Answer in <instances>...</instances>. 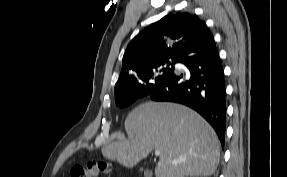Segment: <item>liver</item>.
Here are the masks:
<instances>
[{"instance_id":"1","label":"liver","mask_w":287,"mask_h":177,"mask_svg":"<svg viewBox=\"0 0 287 177\" xmlns=\"http://www.w3.org/2000/svg\"><path fill=\"white\" fill-rule=\"evenodd\" d=\"M128 140L114 141L102 154L133 167L152 150H160L156 177L210 176L220 160L212 127L196 112L179 104L146 102L125 120ZM176 161L177 164H172Z\"/></svg>"}]
</instances>
